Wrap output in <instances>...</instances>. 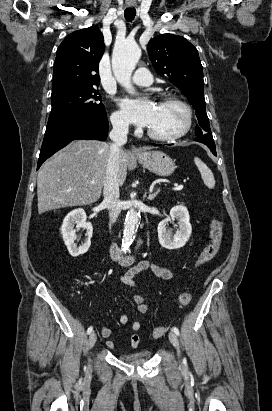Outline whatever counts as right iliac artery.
Listing matches in <instances>:
<instances>
[{
  "label": "right iliac artery",
  "instance_id": "obj_1",
  "mask_svg": "<svg viewBox=\"0 0 272 411\" xmlns=\"http://www.w3.org/2000/svg\"><path fill=\"white\" fill-rule=\"evenodd\" d=\"M92 331H93V327L90 326V327L88 328V330H87V334H90Z\"/></svg>",
  "mask_w": 272,
  "mask_h": 411
}]
</instances>
